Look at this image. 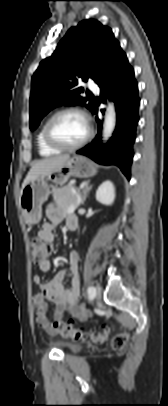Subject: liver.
<instances>
[{
	"mask_svg": "<svg viewBox=\"0 0 168 406\" xmlns=\"http://www.w3.org/2000/svg\"><path fill=\"white\" fill-rule=\"evenodd\" d=\"M69 159L70 155L65 154L35 162L24 179L22 189L31 181L60 170Z\"/></svg>",
	"mask_w": 168,
	"mask_h": 406,
	"instance_id": "6515ba94",
	"label": "liver"
}]
</instances>
